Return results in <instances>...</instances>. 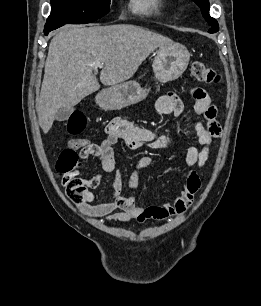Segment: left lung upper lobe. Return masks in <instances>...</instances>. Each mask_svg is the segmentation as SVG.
Returning <instances> with one entry per match:
<instances>
[{"instance_id": "left-lung-upper-lobe-1", "label": "left lung upper lobe", "mask_w": 261, "mask_h": 306, "mask_svg": "<svg viewBox=\"0 0 261 306\" xmlns=\"http://www.w3.org/2000/svg\"><path fill=\"white\" fill-rule=\"evenodd\" d=\"M194 2L201 8L202 15L205 20L211 25L209 33H216L219 29L218 22L209 14V2L207 0H194Z\"/></svg>"}]
</instances>
